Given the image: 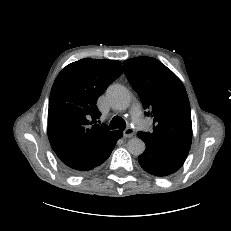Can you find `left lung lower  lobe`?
Here are the masks:
<instances>
[{"instance_id":"1","label":"left lung lower lobe","mask_w":231,"mask_h":231,"mask_svg":"<svg viewBox=\"0 0 231 231\" xmlns=\"http://www.w3.org/2000/svg\"><path fill=\"white\" fill-rule=\"evenodd\" d=\"M146 144V149L138 157L140 166L149 174L155 176H167L184 164L188 150L178 149L162 144H155L144 140L137 134Z\"/></svg>"}]
</instances>
